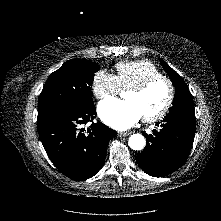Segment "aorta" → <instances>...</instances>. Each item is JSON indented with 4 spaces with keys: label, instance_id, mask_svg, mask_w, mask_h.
Returning a JSON list of instances; mask_svg holds the SVG:
<instances>
[{
    "label": "aorta",
    "instance_id": "762f6f07",
    "mask_svg": "<svg viewBox=\"0 0 221 221\" xmlns=\"http://www.w3.org/2000/svg\"><path fill=\"white\" fill-rule=\"evenodd\" d=\"M128 144L133 150H142L145 147L146 140L141 134H133L129 137Z\"/></svg>",
    "mask_w": 221,
    "mask_h": 221
}]
</instances>
